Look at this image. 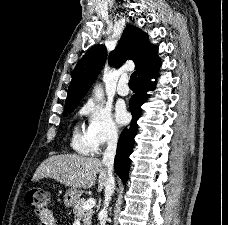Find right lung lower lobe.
Listing matches in <instances>:
<instances>
[{
	"instance_id": "98d812e1",
	"label": "right lung lower lobe",
	"mask_w": 228,
	"mask_h": 225,
	"mask_svg": "<svg viewBox=\"0 0 228 225\" xmlns=\"http://www.w3.org/2000/svg\"><path fill=\"white\" fill-rule=\"evenodd\" d=\"M161 65L160 58H156L149 63L145 68L138 72V89L137 93L130 99V111L132 114V122L130 128H125L120 135L117 153L115 157V171L125 184L128 180V172L130 167L129 156L134 146V137L137 133L138 125L137 120L142 114L141 106L147 100V91L154 90L155 82L150 79L155 78L158 73V69Z\"/></svg>"
}]
</instances>
